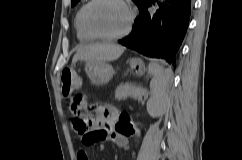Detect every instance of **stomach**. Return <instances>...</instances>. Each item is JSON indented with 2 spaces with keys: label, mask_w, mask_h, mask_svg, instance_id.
I'll return each mask as SVG.
<instances>
[{
  "label": "stomach",
  "mask_w": 242,
  "mask_h": 160,
  "mask_svg": "<svg viewBox=\"0 0 242 160\" xmlns=\"http://www.w3.org/2000/svg\"><path fill=\"white\" fill-rule=\"evenodd\" d=\"M130 67L138 76L144 75L146 71L143 61L139 58L131 59ZM85 72L93 85H104L108 83L114 75L112 66L104 61L86 62Z\"/></svg>",
  "instance_id": "0dacf381"
}]
</instances>
